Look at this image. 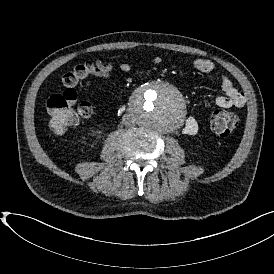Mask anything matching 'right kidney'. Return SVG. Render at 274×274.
<instances>
[{
  "instance_id": "1",
  "label": "right kidney",
  "mask_w": 274,
  "mask_h": 274,
  "mask_svg": "<svg viewBox=\"0 0 274 274\" xmlns=\"http://www.w3.org/2000/svg\"><path fill=\"white\" fill-rule=\"evenodd\" d=\"M96 138V132H93L92 136L90 137L89 141H92L93 139Z\"/></svg>"
}]
</instances>
